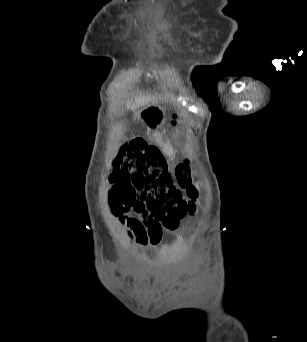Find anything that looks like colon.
<instances>
[{
  "mask_svg": "<svg viewBox=\"0 0 307 342\" xmlns=\"http://www.w3.org/2000/svg\"><path fill=\"white\" fill-rule=\"evenodd\" d=\"M172 124H176L175 116ZM190 162V156L182 157V162L175 166L174 180L159 148L141 139H134L119 152L114 162L112 184L107 190L109 202L115 207H128L124 202V192L132 189L135 202L146 207L165 228H175L182 219L195 214L197 210L199 185L194 181ZM116 173L123 174V178L118 180L114 175Z\"/></svg>",
  "mask_w": 307,
  "mask_h": 342,
  "instance_id": "1",
  "label": "colon"
}]
</instances>
